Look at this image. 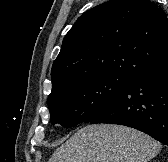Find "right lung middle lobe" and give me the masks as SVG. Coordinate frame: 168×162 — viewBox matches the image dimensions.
Listing matches in <instances>:
<instances>
[{
	"instance_id": "1",
	"label": "right lung middle lobe",
	"mask_w": 168,
	"mask_h": 162,
	"mask_svg": "<svg viewBox=\"0 0 168 162\" xmlns=\"http://www.w3.org/2000/svg\"><path fill=\"white\" fill-rule=\"evenodd\" d=\"M131 78L124 74H107L53 91L48 96L51 123L73 127L90 122Z\"/></svg>"
}]
</instances>
